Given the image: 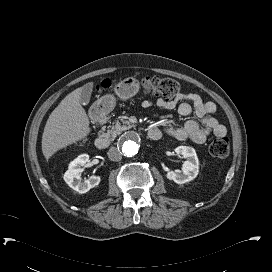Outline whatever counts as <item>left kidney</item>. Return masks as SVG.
<instances>
[{
	"label": "left kidney",
	"mask_w": 272,
	"mask_h": 272,
	"mask_svg": "<svg viewBox=\"0 0 272 272\" xmlns=\"http://www.w3.org/2000/svg\"><path fill=\"white\" fill-rule=\"evenodd\" d=\"M174 151L178 155H183L186 161L182 165V172L180 170L168 171L167 179L177 184H184L195 179L199 172V160L195 149L190 146H178Z\"/></svg>",
	"instance_id": "left-kidney-1"
}]
</instances>
